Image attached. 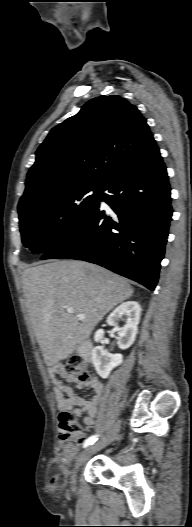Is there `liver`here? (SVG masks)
<instances>
[{
    "instance_id": "1",
    "label": "liver",
    "mask_w": 192,
    "mask_h": 527,
    "mask_svg": "<svg viewBox=\"0 0 192 527\" xmlns=\"http://www.w3.org/2000/svg\"><path fill=\"white\" fill-rule=\"evenodd\" d=\"M29 317L47 366L70 357L94 327L134 292L122 277L83 261H54L22 273ZM65 307L73 308V313ZM78 314L86 316L79 319Z\"/></svg>"
}]
</instances>
